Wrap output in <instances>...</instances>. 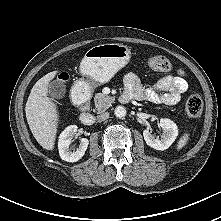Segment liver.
Listing matches in <instances>:
<instances>
[{
  "mask_svg": "<svg viewBox=\"0 0 221 221\" xmlns=\"http://www.w3.org/2000/svg\"><path fill=\"white\" fill-rule=\"evenodd\" d=\"M57 73L52 71L35 83L25 107L29 128L36 141L46 150L54 148L59 120L56 104L48 97L49 82Z\"/></svg>",
  "mask_w": 221,
  "mask_h": 221,
  "instance_id": "1",
  "label": "liver"
}]
</instances>
